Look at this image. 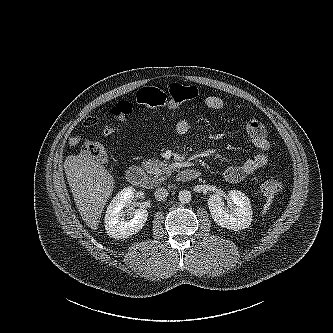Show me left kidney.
<instances>
[{"label":"left kidney","instance_id":"obj_1","mask_svg":"<svg viewBox=\"0 0 333 333\" xmlns=\"http://www.w3.org/2000/svg\"><path fill=\"white\" fill-rule=\"evenodd\" d=\"M231 208L225 206L221 195L214 194L208 199L211 217L222 228L238 231L248 228L252 222V208L249 198L238 190L229 191Z\"/></svg>","mask_w":333,"mask_h":333}]
</instances>
